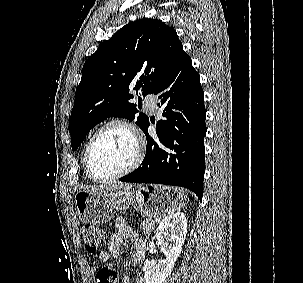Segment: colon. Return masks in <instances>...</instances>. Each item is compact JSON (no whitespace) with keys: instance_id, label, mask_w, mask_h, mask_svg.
Segmentation results:
<instances>
[{"instance_id":"obj_1","label":"colon","mask_w":303,"mask_h":283,"mask_svg":"<svg viewBox=\"0 0 303 283\" xmlns=\"http://www.w3.org/2000/svg\"><path fill=\"white\" fill-rule=\"evenodd\" d=\"M80 236L85 250L96 253L106 240V233L92 225H83L80 229ZM97 283H117V273L113 269L104 267L96 273Z\"/></svg>"}]
</instances>
